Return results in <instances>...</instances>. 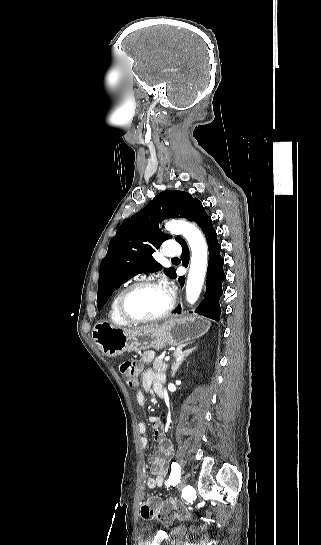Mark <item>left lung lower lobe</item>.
I'll return each instance as SVG.
<instances>
[{
  "instance_id": "1",
  "label": "left lung lower lobe",
  "mask_w": 321,
  "mask_h": 545,
  "mask_svg": "<svg viewBox=\"0 0 321 545\" xmlns=\"http://www.w3.org/2000/svg\"><path fill=\"white\" fill-rule=\"evenodd\" d=\"M190 221H194L200 226L205 234L209 246L207 290L205 293V299L196 309V313L219 321L221 313L219 299L223 294L222 282L225 279V274L223 271L224 260L220 255L221 246L218 243L212 220L202 205L195 210ZM180 244L183 249L181 259L183 261V265L187 267L189 261V248L184 240H182ZM173 278H176V275ZM179 282L183 286L185 276L179 277ZM174 312L181 313V307L179 306Z\"/></svg>"
}]
</instances>
